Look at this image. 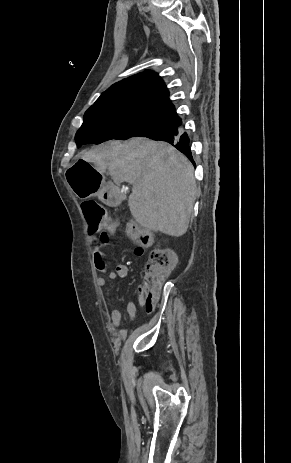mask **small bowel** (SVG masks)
<instances>
[{
    "instance_id": "small-bowel-1",
    "label": "small bowel",
    "mask_w": 291,
    "mask_h": 463,
    "mask_svg": "<svg viewBox=\"0 0 291 463\" xmlns=\"http://www.w3.org/2000/svg\"><path fill=\"white\" fill-rule=\"evenodd\" d=\"M89 241L92 247L93 259L97 270L102 274L98 277L97 284L100 287H106L109 284V280L112 279H123L128 274V267L124 263H119L109 269L106 265L103 255V247L108 241V232L101 231L98 233H90ZM144 253V248L140 245L134 247V254L140 256ZM145 306V296L142 288L138 289V295L136 300L130 301L127 305V314L131 319H135L136 312L139 307ZM122 318V312L119 308L114 307L111 311V321L114 326H119Z\"/></svg>"
}]
</instances>
